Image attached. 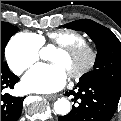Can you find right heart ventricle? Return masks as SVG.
Returning a JSON list of instances; mask_svg holds the SVG:
<instances>
[{"label":"right heart ventricle","mask_w":121,"mask_h":121,"mask_svg":"<svg viewBox=\"0 0 121 121\" xmlns=\"http://www.w3.org/2000/svg\"><path fill=\"white\" fill-rule=\"evenodd\" d=\"M31 36L35 37L41 46H48V45H72L77 43H84V39L82 36L65 31H52L48 32L47 34H35V33H28Z\"/></svg>","instance_id":"e07e8e85"}]
</instances>
